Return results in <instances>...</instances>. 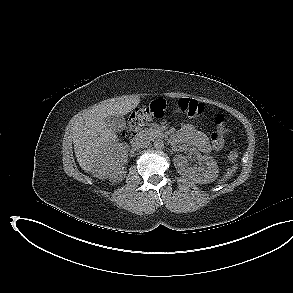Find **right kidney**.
Listing matches in <instances>:
<instances>
[{
	"mask_svg": "<svg viewBox=\"0 0 293 293\" xmlns=\"http://www.w3.org/2000/svg\"><path fill=\"white\" fill-rule=\"evenodd\" d=\"M111 180L116 181V174L109 177Z\"/></svg>",
	"mask_w": 293,
	"mask_h": 293,
	"instance_id": "obj_1",
	"label": "right kidney"
}]
</instances>
